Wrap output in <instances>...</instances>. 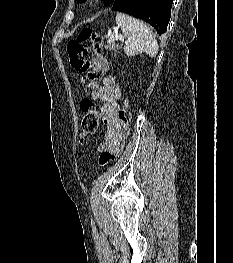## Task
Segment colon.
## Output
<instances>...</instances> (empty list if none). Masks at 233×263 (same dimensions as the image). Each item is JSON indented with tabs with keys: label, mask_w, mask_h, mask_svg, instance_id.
<instances>
[{
	"label": "colon",
	"mask_w": 233,
	"mask_h": 263,
	"mask_svg": "<svg viewBox=\"0 0 233 263\" xmlns=\"http://www.w3.org/2000/svg\"><path fill=\"white\" fill-rule=\"evenodd\" d=\"M103 39L101 35L89 28L82 29L75 38L67 43V53L71 67L80 73H85L90 79H96L98 72L91 68L89 62V52H100L102 50ZM127 100L123 102V107L119 111V119L122 123L123 136L126 139L129 134V124L131 114ZM81 128L82 133L79 143L84 145L88 137L95 133L101 119V111L96 102L91 98L83 99L80 102ZM123 145L114 152H103L99 157V164L105 166L113 162L122 151Z\"/></svg>",
	"instance_id": "5ec220e1"
}]
</instances>
